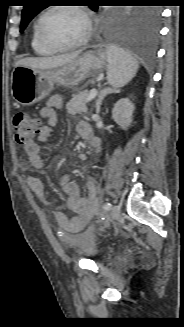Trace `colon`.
Masks as SVG:
<instances>
[{
  "label": "colon",
  "instance_id": "obj_1",
  "mask_svg": "<svg viewBox=\"0 0 184 327\" xmlns=\"http://www.w3.org/2000/svg\"><path fill=\"white\" fill-rule=\"evenodd\" d=\"M13 129L17 143L27 145L39 134L41 122L39 119L31 116L28 112L20 111L14 115ZM95 216L97 221H103L101 214L97 213Z\"/></svg>",
  "mask_w": 184,
  "mask_h": 327
}]
</instances>
